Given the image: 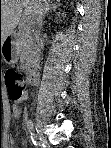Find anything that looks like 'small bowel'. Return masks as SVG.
<instances>
[{"label":"small bowel","instance_id":"small-bowel-1","mask_svg":"<svg viewBox=\"0 0 111 148\" xmlns=\"http://www.w3.org/2000/svg\"><path fill=\"white\" fill-rule=\"evenodd\" d=\"M20 112H21L20 107L17 104H15L12 107V114H11V116L16 119V118L19 117ZM13 144H14L13 140L11 138H9L8 141H7L6 147H13Z\"/></svg>","mask_w":111,"mask_h":148}]
</instances>
